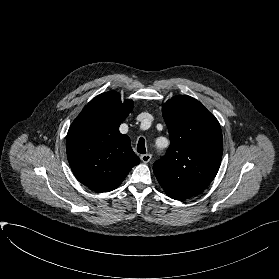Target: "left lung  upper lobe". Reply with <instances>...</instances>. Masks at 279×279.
<instances>
[{"instance_id": "obj_1", "label": "left lung upper lobe", "mask_w": 279, "mask_h": 279, "mask_svg": "<svg viewBox=\"0 0 279 279\" xmlns=\"http://www.w3.org/2000/svg\"><path fill=\"white\" fill-rule=\"evenodd\" d=\"M170 134L167 153L153 165L168 196L188 199L201 193L216 176L223 138L218 120L196 99L179 95L163 105Z\"/></svg>"}]
</instances>
